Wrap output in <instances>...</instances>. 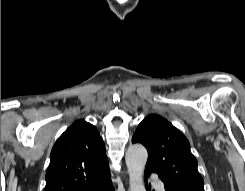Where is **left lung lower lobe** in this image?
Instances as JSON below:
<instances>
[{
    "mask_svg": "<svg viewBox=\"0 0 245 191\" xmlns=\"http://www.w3.org/2000/svg\"><path fill=\"white\" fill-rule=\"evenodd\" d=\"M150 174L151 173H149V172H145V177L150 176ZM146 187H147V191H151L150 188L148 187L147 182H146ZM164 187H165V191H179L178 189H176V188H174V187H172L170 185L164 184Z\"/></svg>",
    "mask_w": 245,
    "mask_h": 191,
    "instance_id": "left-lung-lower-lobe-1",
    "label": "left lung lower lobe"
}]
</instances>
